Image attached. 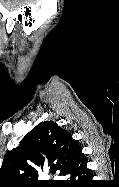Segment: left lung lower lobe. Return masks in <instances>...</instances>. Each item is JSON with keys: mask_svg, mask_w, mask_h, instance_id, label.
Wrapping results in <instances>:
<instances>
[{"mask_svg": "<svg viewBox=\"0 0 119 187\" xmlns=\"http://www.w3.org/2000/svg\"><path fill=\"white\" fill-rule=\"evenodd\" d=\"M65 175H71V177L75 180L89 178V171L86 168L85 157L84 154L82 153V149L79 144L76 147H74L72 151L71 160ZM81 181H87V180H81Z\"/></svg>", "mask_w": 119, "mask_h": 187, "instance_id": "left-lung-lower-lobe-1", "label": "left lung lower lobe"}]
</instances>
